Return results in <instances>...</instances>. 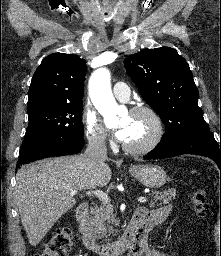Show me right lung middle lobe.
<instances>
[{
	"instance_id": "1",
	"label": "right lung middle lobe",
	"mask_w": 221,
	"mask_h": 256,
	"mask_svg": "<svg viewBox=\"0 0 221 256\" xmlns=\"http://www.w3.org/2000/svg\"><path fill=\"white\" fill-rule=\"evenodd\" d=\"M27 112L29 125L19 153L49 139L84 135L82 103L42 105Z\"/></svg>"
}]
</instances>
